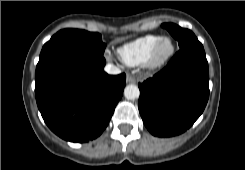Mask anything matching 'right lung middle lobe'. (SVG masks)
I'll list each match as a JSON object with an SVG mask.
<instances>
[{"label": "right lung middle lobe", "mask_w": 245, "mask_h": 170, "mask_svg": "<svg viewBox=\"0 0 245 170\" xmlns=\"http://www.w3.org/2000/svg\"><path fill=\"white\" fill-rule=\"evenodd\" d=\"M106 45L99 33L85 30L64 29L57 32L43 46L36 70L43 67L52 58L65 52H86L103 55Z\"/></svg>", "instance_id": "right-lung-middle-lobe-1"}]
</instances>
